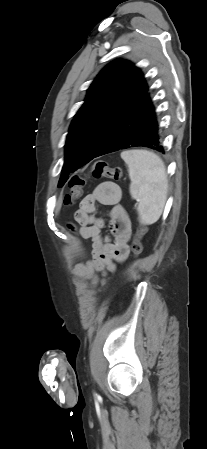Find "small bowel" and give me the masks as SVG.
Wrapping results in <instances>:
<instances>
[{
    "label": "small bowel",
    "instance_id": "1",
    "mask_svg": "<svg viewBox=\"0 0 207 449\" xmlns=\"http://www.w3.org/2000/svg\"><path fill=\"white\" fill-rule=\"evenodd\" d=\"M122 193L118 185L103 182L87 195L74 213L78 228L70 225L81 239L92 241V257L71 267L77 280H88L93 286L103 282L99 275H107L116 269V264L129 256L131 223L125 207L121 204ZM111 206L109 228L113 237L103 236V219L95 216L97 205Z\"/></svg>",
    "mask_w": 207,
    "mask_h": 449
}]
</instances>
